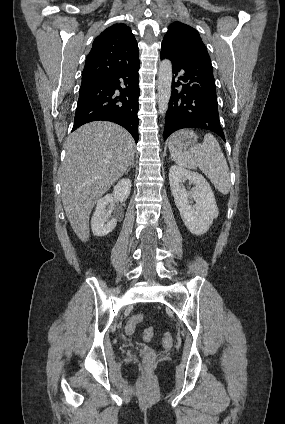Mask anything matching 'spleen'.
Returning <instances> with one entry per match:
<instances>
[{
	"label": "spleen",
	"mask_w": 285,
	"mask_h": 424,
	"mask_svg": "<svg viewBox=\"0 0 285 424\" xmlns=\"http://www.w3.org/2000/svg\"><path fill=\"white\" fill-rule=\"evenodd\" d=\"M169 151L175 163L189 169L198 167L219 192L224 195L229 193L231 183L227 161L218 141L212 134H206L202 144L193 145L188 151H183L170 142Z\"/></svg>",
	"instance_id": "spleen-1"
}]
</instances>
